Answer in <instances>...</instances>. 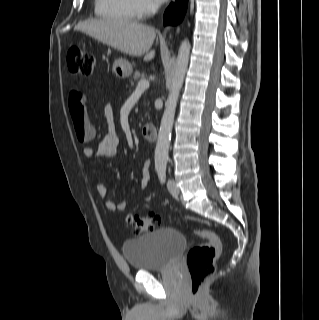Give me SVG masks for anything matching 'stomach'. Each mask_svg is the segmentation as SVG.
<instances>
[{"label":"stomach","mask_w":319,"mask_h":320,"mask_svg":"<svg viewBox=\"0 0 319 320\" xmlns=\"http://www.w3.org/2000/svg\"><path fill=\"white\" fill-rule=\"evenodd\" d=\"M112 71L116 75V77L125 79L131 75L133 68L129 61L120 58L113 63Z\"/></svg>","instance_id":"0dacf381"}]
</instances>
